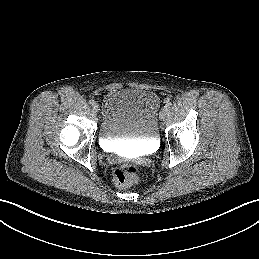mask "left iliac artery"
I'll return each instance as SVG.
<instances>
[{
	"mask_svg": "<svg viewBox=\"0 0 259 259\" xmlns=\"http://www.w3.org/2000/svg\"><path fill=\"white\" fill-rule=\"evenodd\" d=\"M171 105H172L171 101L167 100L166 104H165V107L170 108Z\"/></svg>",
	"mask_w": 259,
	"mask_h": 259,
	"instance_id": "1",
	"label": "left iliac artery"
}]
</instances>
